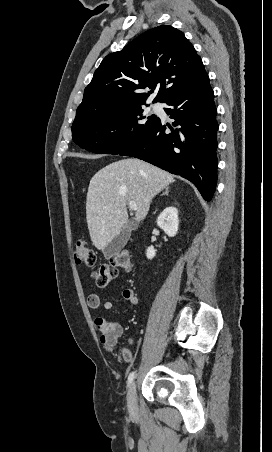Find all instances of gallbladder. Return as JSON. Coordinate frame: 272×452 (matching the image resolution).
Masks as SVG:
<instances>
[{"mask_svg": "<svg viewBox=\"0 0 272 452\" xmlns=\"http://www.w3.org/2000/svg\"><path fill=\"white\" fill-rule=\"evenodd\" d=\"M137 227L136 222L131 219L121 229L120 233L102 250L105 259L117 255L125 247L130 238L131 232Z\"/></svg>", "mask_w": 272, "mask_h": 452, "instance_id": "gallbladder-1", "label": "gallbladder"}]
</instances>
